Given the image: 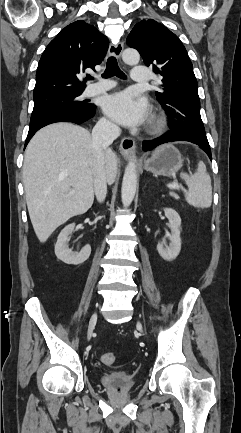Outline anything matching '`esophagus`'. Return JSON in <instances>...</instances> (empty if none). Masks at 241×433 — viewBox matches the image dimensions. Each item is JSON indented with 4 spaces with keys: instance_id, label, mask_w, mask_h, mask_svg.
Returning a JSON list of instances; mask_svg holds the SVG:
<instances>
[{
    "instance_id": "34e87169",
    "label": "esophagus",
    "mask_w": 241,
    "mask_h": 433,
    "mask_svg": "<svg viewBox=\"0 0 241 433\" xmlns=\"http://www.w3.org/2000/svg\"><path fill=\"white\" fill-rule=\"evenodd\" d=\"M123 52V43L118 42L115 44H111L109 47V55L114 56L116 58H120ZM120 153L125 158H130L135 151V141L131 137H124L120 143Z\"/></svg>"
}]
</instances>
